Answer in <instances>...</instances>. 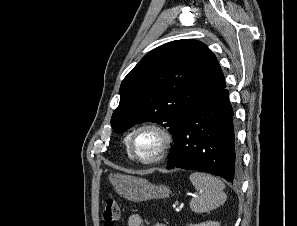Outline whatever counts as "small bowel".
Returning a JSON list of instances; mask_svg holds the SVG:
<instances>
[{
    "label": "small bowel",
    "instance_id": "1",
    "mask_svg": "<svg viewBox=\"0 0 297 226\" xmlns=\"http://www.w3.org/2000/svg\"><path fill=\"white\" fill-rule=\"evenodd\" d=\"M128 226H147L145 219L139 214H132L128 218ZM153 226H166L163 223H156Z\"/></svg>",
    "mask_w": 297,
    "mask_h": 226
}]
</instances>
